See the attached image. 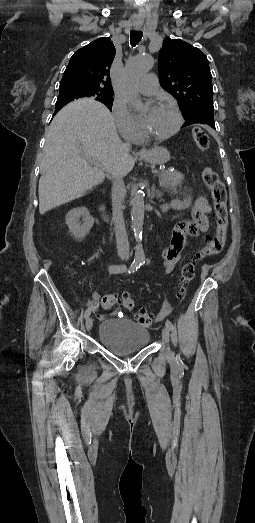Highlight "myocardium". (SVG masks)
<instances>
[{
  "mask_svg": "<svg viewBox=\"0 0 255 523\" xmlns=\"http://www.w3.org/2000/svg\"><path fill=\"white\" fill-rule=\"evenodd\" d=\"M163 105L170 106L174 110V112L176 114L177 121H176V125H175L174 129L171 132H169L168 134H165V135H162V136H159V137H155V138H150V137L145 135V133L143 132L142 127H141L140 128V133H139V136H138V138L140 140H142L144 142H161V141H165L167 139L172 138L173 136H175L180 131V129H181L182 125H183L184 120H183V116H182V113H181L179 107L174 102L165 100V101H160V102L156 103L153 106L152 109H156V108H158L160 106H163Z\"/></svg>",
  "mask_w": 255,
  "mask_h": 523,
  "instance_id": "obj_1",
  "label": "myocardium"
}]
</instances>
